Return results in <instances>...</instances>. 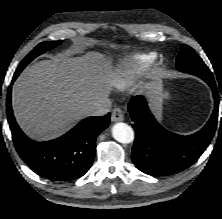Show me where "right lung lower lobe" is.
<instances>
[{
  "label": "right lung lower lobe",
  "mask_w": 222,
  "mask_h": 219,
  "mask_svg": "<svg viewBox=\"0 0 222 219\" xmlns=\"http://www.w3.org/2000/svg\"><path fill=\"white\" fill-rule=\"evenodd\" d=\"M15 72L13 81L18 77ZM11 88L7 94V118L15 148L22 160L40 176L67 182L80 178L92 166L96 137L108 127L110 113L88 117L63 136L45 142L29 139L17 125L11 107Z\"/></svg>",
  "instance_id": "98d812e1"
}]
</instances>
